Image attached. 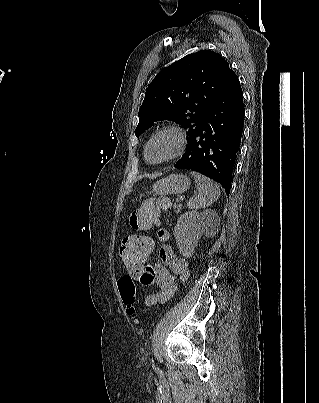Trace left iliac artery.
Listing matches in <instances>:
<instances>
[{"mask_svg":"<svg viewBox=\"0 0 319 403\" xmlns=\"http://www.w3.org/2000/svg\"><path fill=\"white\" fill-rule=\"evenodd\" d=\"M152 367L155 368L154 360L152 359Z\"/></svg>","mask_w":319,"mask_h":403,"instance_id":"1","label":"left iliac artery"}]
</instances>
